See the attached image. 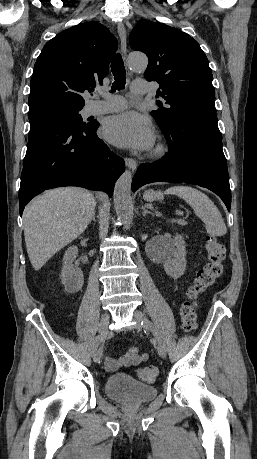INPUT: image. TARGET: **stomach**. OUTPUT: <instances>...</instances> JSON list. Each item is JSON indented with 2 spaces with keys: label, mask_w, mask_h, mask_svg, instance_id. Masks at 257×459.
<instances>
[{
  "label": "stomach",
  "mask_w": 257,
  "mask_h": 459,
  "mask_svg": "<svg viewBox=\"0 0 257 459\" xmlns=\"http://www.w3.org/2000/svg\"><path fill=\"white\" fill-rule=\"evenodd\" d=\"M143 197L146 201L152 202L154 200L162 199L163 195L160 191L148 190L144 193Z\"/></svg>",
  "instance_id": "obj_1"
}]
</instances>
